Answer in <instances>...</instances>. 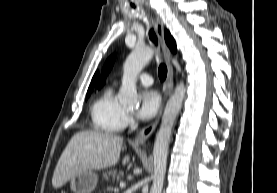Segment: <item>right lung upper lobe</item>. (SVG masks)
<instances>
[{"instance_id": "obj_1", "label": "right lung upper lobe", "mask_w": 277, "mask_h": 193, "mask_svg": "<svg viewBox=\"0 0 277 193\" xmlns=\"http://www.w3.org/2000/svg\"><path fill=\"white\" fill-rule=\"evenodd\" d=\"M164 37H165V41H166L167 45L169 46V48L171 49V51L175 52L176 51V43L168 30H165ZM97 77H98V72L95 73V75L91 81V84L89 86L87 94H90L92 92L94 85L96 83Z\"/></svg>"}]
</instances>
